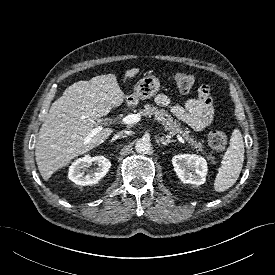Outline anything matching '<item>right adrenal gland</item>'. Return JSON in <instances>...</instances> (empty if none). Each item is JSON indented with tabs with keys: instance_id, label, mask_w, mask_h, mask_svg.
Listing matches in <instances>:
<instances>
[{
	"instance_id": "right-adrenal-gland-1",
	"label": "right adrenal gland",
	"mask_w": 275,
	"mask_h": 275,
	"mask_svg": "<svg viewBox=\"0 0 275 275\" xmlns=\"http://www.w3.org/2000/svg\"><path fill=\"white\" fill-rule=\"evenodd\" d=\"M116 138H112V140L109 143H112Z\"/></svg>"
}]
</instances>
